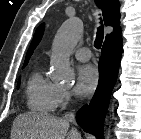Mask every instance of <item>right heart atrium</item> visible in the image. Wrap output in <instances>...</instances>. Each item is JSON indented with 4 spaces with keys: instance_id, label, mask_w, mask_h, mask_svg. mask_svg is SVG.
<instances>
[{
    "instance_id": "right-heart-atrium-1",
    "label": "right heart atrium",
    "mask_w": 141,
    "mask_h": 139,
    "mask_svg": "<svg viewBox=\"0 0 141 139\" xmlns=\"http://www.w3.org/2000/svg\"><path fill=\"white\" fill-rule=\"evenodd\" d=\"M71 93L64 88H59L56 95V108H63L71 102Z\"/></svg>"
}]
</instances>
